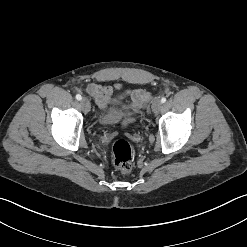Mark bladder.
<instances>
[{
    "instance_id": "bladder-1",
    "label": "bladder",
    "mask_w": 247,
    "mask_h": 247,
    "mask_svg": "<svg viewBox=\"0 0 247 247\" xmlns=\"http://www.w3.org/2000/svg\"><path fill=\"white\" fill-rule=\"evenodd\" d=\"M120 115L118 113H109L99 118V121L103 124H113L118 121Z\"/></svg>"
}]
</instances>
